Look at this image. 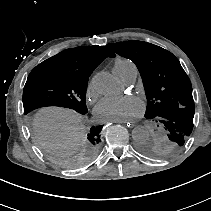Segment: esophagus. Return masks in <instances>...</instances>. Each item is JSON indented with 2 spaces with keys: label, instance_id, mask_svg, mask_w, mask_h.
Masks as SVG:
<instances>
[{
  "label": "esophagus",
  "instance_id": "obj_1",
  "mask_svg": "<svg viewBox=\"0 0 211 211\" xmlns=\"http://www.w3.org/2000/svg\"><path fill=\"white\" fill-rule=\"evenodd\" d=\"M111 122L121 123L123 126H127L128 128H131L133 126V123L131 121H128L127 119H123V120H112Z\"/></svg>",
  "mask_w": 211,
  "mask_h": 211
}]
</instances>
